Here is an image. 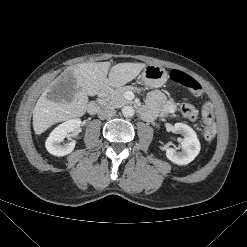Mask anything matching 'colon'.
Wrapping results in <instances>:
<instances>
[{"instance_id": "obj_1", "label": "colon", "mask_w": 247, "mask_h": 247, "mask_svg": "<svg viewBox=\"0 0 247 247\" xmlns=\"http://www.w3.org/2000/svg\"><path fill=\"white\" fill-rule=\"evenodd\" d=\"M171 79L177 84L187 88L194 97H201L203 90L201 85L188 74L179 71H171ZM182 117L188 121H194L198 117V110L191 104H183L180 107ZM203 136L206 140H212L216 136V126L214 123V109L210 103L202 107Z\"/></svg>"}]
</instances>
